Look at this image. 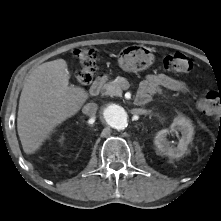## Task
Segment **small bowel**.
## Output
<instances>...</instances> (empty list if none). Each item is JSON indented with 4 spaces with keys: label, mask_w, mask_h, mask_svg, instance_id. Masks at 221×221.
Here are the masks:
<instances>
[{
    "label": "small bowel",
    "mask_w": 221,
    "mask_h": 221,
    "mask_svg": "<svg viewBox=\"0 0 221 221\" xmlns=\"http://www.w3.org/2000/svg\"><path fill=\"white\" fill-rule=\"evenodd\" d=\"M160 87L178 92H185L187 90V86L183 81L164 73H158L147 76L141 84L140 94L149 96L155 93Z\"/></svg>",
    "instance_id": "1"
}]
</instances>
